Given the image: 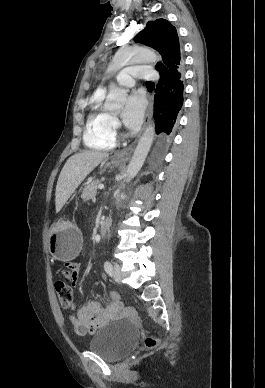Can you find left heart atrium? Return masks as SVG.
I'll return each instance as SVG.
<instances>
[{
  "label": "left heart atrium",
  "mask_w": 265,
  "mask_h": 388,
  "mask_svg": "<svg viewBox=\"0 0 265 388\" xmlns=\"http://www.w3.org/2000/svg\"><path fill=\"white\" fill-rule=\"evenodd\" d=\"M125 108L122 113L123 122L129 127L137 126L143 117L144 100L141 94L134 92L125 98Z\"/></svg>",
  "instance_id": "1"
}]
</instances>
